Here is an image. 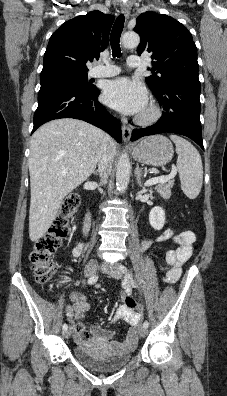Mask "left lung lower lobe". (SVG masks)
<instances>
[{
    "label": "left lung lower lobe",
    "instance_id": "0a47b994",
    "mask_svg": "<svg viewBox=\"0 0 227 396\" xmlns=\"http://www.w3.org/2000/svg\"><path fill=\"white\" fill-rule=\"evenodd\" d=\"M200 91V85L175 84L155 94L164 110L162 117L150 127L134 129L131 140L168 132L187 136L204 149L200 123Z\"/></svg>",
    "mask_w": 227,
    "mask_h": 396
}]
</instances>
